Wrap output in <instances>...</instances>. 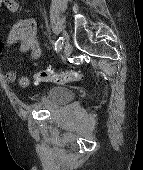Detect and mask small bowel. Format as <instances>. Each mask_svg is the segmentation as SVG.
<instances>
[{"instance_id":"c3829d8e","label":"small bowel","mask_w":143,"mask_h":170,"mask_svg":"<svg viewBox=\"0 0 143 170\" xmlns=\"http://www.w3.org/2000/svg\"><path fill=\"white\" fill-rule=\"evenodd\" d=\"M4 6L5 10L8 12L14 13L19 8V2L17 0H8L7 3L1 4ZM15 43L20 44V51L29 53V58L32 62L36 63L41 56V48L39 41L37 39V26L33 18L26 17L19 19L16 23L13 24L9 30L5 40L0 44V56L3 52L5 46H10ZM5 80L10 83H14L17 80V75L14 71H8L4 74ZM26 79L28 81L27 86L29 85V77L22 76L19 79V84L21 81ZM22 86V87H27Z\"/></svg>"}]
</instances>
